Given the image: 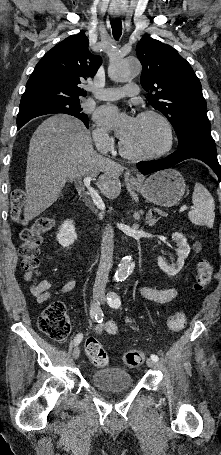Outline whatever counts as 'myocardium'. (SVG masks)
I'll use <instances>...</instances> for the list:
<instances>
[{
    "label": "myocardium",
    "mask_w": 221,
    "mask_h": 455,
    "mask_svg": "<svg viewBox=\"0 0 221 455\" xmlns=\"http://www.w3.org/2000/svg\"><path fill=\"white\" fill-rule=\"evenodd\" d=\"M146 117H152L161 124V126L163 127V130H164V135H165L164 144L160 148L153 150V151L135 152V151L128 149L125 146V144L123 143V141H120L119 142V151L123 156L133 159V160H149V159L159 158V157L165 155L166 153H168L172 149L173 143H174V133H173V127H172L170 121L168 120V118L166 116H164L162 113H160L159 111L152 110V109L143 110L137 116V118H146Z\"/></svg>",
    "instance_id": "myocardium-1"
}]
</instances>
